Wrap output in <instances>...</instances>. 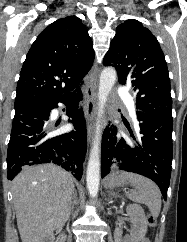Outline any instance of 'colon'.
I'll use <instances>...</instances> for the list:
<instances>
[{"instance_id":"5ec220e1","label":"colon","mask_w":187,"mask_h":242,"mask_svg":"<svg viewBox=\"0 0 187 242\" xmlns=\"http://www.w3.org/2000/svg\"><path fill=\"white\" fill-rule=\"evenodd\" d=\"M147 221H148V223H149L151 226L155 225V223H156L155 217L152 216V215H148V216H147ZM142 242H149V241H148V240H143Z\"/></svg>"}]
</instances>
